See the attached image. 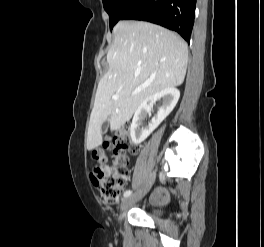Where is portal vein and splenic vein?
Returning <instances> with one entry per match:
<instances>
[{
    "label": "portal vein and splenic vein",
    "mask_w": 264,
    "mask_h": 247,
    "mask_svg": "<svg viewBox=\"0 0 264 247\" xmlns=\"http://www.w3.org/2000/svg\"><path fill=\"white\" fill-rule=\"evenodd\" d=\"M140 90H138L137 92H139ZM137 92L133 93L132 95L136 94ZM112 99L113 100H118L119 99V96L118 95H113L112 96Z\"/></svg>",
    "instance_id": "portal-vein-and-splenic-vein-1"
}]
</instances>
